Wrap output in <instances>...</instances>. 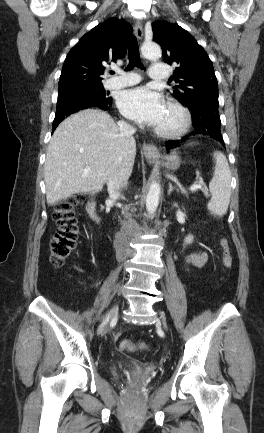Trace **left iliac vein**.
Wrapping results in <instances>:
<instances>
[{"label": "left iliac vein", "mask_w": 264, "mask_h": 433, "mask_svg": "<svg viewBox=\"0 0 264 433\" xmlns=\"http://www.w3.org/2000/svg\"><path fill=\"white\" fill-rule=\"evenodd\" d=\"M161 321H162V325H163L164 329L166 330L167 329V325H166L165 318H164V316L162 314H161Z\"/></svg>", "instance_id": "1"}]
</instances>
